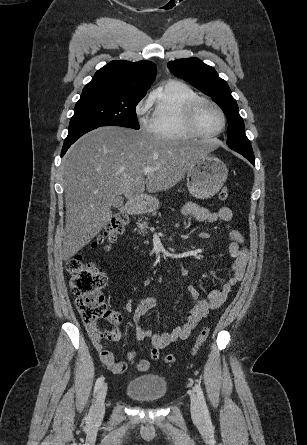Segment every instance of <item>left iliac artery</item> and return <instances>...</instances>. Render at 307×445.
Instances as JSON below:
<instances>
[{"instance_id": "1", "label": "left iliac artery", "mask_w": 307, "mask_h": 445, "mask_svg": "<svg viewBox=\"0 0 307 445\" xmlns=\"http://www.w3.org/2000/svg\"><path fill=\"white\" fill-rule=\"evenodd\" d=\"M195 390H196V393H197V396H198V399H199V402H200V406H201V410H202V413L204 415V418H205V420L207 422H209L210 421L209 411H208V408H207V405H206V401H205V398H204L203 391H202V389H201L199 384H195Z\"/></svg>"}]
</instances>
